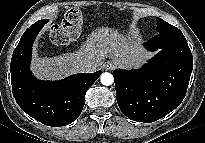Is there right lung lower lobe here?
<instances>
[{
	"label": "right lung lower lobe",
	"mask_w": 205,
	"mask_h": 143,
	"mask_svg": "<svg viewBox=\"0 0 205 143\" xmlns=\"http://www.w3.org/2000/svg\"><path fill=\"white\" fill-rule=\"evenodd\" d=\"M48 21H37L22 35L11 59V83L15 100L24 112L47 126L60 127L79 117L86 91L102 71L75 74L53 82L36 79L29 69L32 45Z\"/></svg>",
	"instance_id": "1"
}]
</instances>
